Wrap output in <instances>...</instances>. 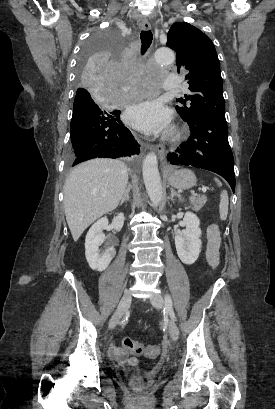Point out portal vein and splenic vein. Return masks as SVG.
I'll list each match as a JSON object with an SVG mask.
<instances>
[{"instance_id":"portal-vein-and-splenic-vein-1","label":"portal vein and splenic vein","mask_w":275,"mask_h":409,"mask_svg":"<svg viewBox=\"0 0 275 409\" xmlns=\"http://www.w3.org/2000/svg\"><path fill=\"white\" fill-rule=\"evenodd\" d=\"M203 192H206V186H202Z\"/></svg>"}]
</instances>
